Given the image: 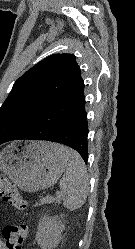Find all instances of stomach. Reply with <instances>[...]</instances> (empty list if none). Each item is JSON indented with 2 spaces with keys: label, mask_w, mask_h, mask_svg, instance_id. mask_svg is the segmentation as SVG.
Returning a JSON list of instances; mask_svg holds the SVG:
<instances>
[{
  "label": "stomach",
  "mask_w": 135,
  "mask_h": 249,
  "mask_svg": "<svg viewBox=\"0 0 135 249\" xmlns=\"http://www.w3.org/2000/svg\"><path fill=\"white\" fill-rule=\"evenodd\" d=\"M65 168L66 163L48 142H16L0 152V170L26 192L54 185Z\"/></svg>",
  "instance_id": "stomach-1"
}]
</instances>
